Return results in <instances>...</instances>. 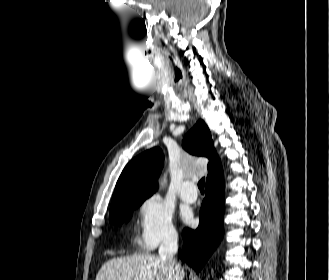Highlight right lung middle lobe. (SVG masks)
Segmentation results:
<instances>
[{"instance_id":"dd1d6c3e","label":"right lung middle lobe","mask_w":329,"mask_h":280,"mask_svg":"<svg viewBox=\"0 0 329 280\" xmlns=\"http://www.w3.org/2000/svg\"><path fill=\"white\" fill-rule=\"evenodd\" d=\"M145 199L128 200L116 206L109 213L110 223L121 224L123 221L127 222L132 215V211L139 207Z\"/></svg>"}]
</instances>
